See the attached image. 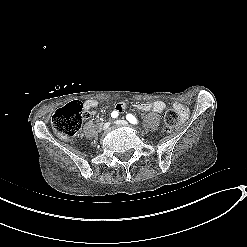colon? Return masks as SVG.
I'll list each match as a JSON object with an SVG mask.
<instances>
[{
	"label": "colon",
	"instance_id": "1",
	"mask_svg": "<svg viewBox=\"0 0 247 247\" xmlns=\"http://www.w3.org/2000/svg\"><path fill=\"white\" fill-rule=\"evenodd\" d=\"M83 118V102L80 99H73L69 105L59 108L54 113L52 126L62 138L70 139L80 130ZM164 122L169 131L176 128L178 114L174 108L169 107L165 110Z\"/></svg>",
	"mask_w": 247,
	"mask_h": 247
}]
</instances>
